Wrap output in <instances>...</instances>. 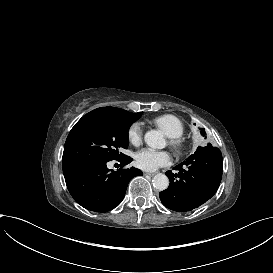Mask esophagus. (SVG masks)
<instances>
[{"mask_svg":"<svg viewBox=\"0 0 273 273\" xmlns=\"http://www.w3.org/2000/svg\"><path fill=\"white\" fill-rule=\"evenodd\" d=\"M144 175L154 176V175H155V173H152V172H144Z\"/></svg>","mask_w":273,"mask_h":273,"instance_id":"34e87169","label":"esophagus"}]
</instances>
